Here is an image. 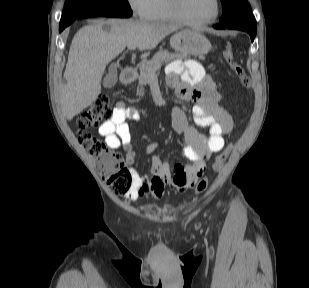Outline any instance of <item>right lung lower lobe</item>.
I'll return each instance as SVG.
<instances>
[{
  "label": "right lung lower lobe",
  "mask_w": 309,
  "mask_h": 288,
  "mask_svg": "<svg viewBox=\"0 0 309 288\" xmlns=\"http://www.w3.org/2000/svg\"><path fill=\"white\" fill-rule=\"evenodd\" d=\"M132 14L127 13V12H122V11H113V10H96V11H91L84 15L82 18H87V17H95V16H106V17H119V18H128ZM67 27V26H66ZM65 27L61 26L59 28V31L61 32Z\"/></svg>",
  "instance_id": "obj_1"
}]
</instances>
